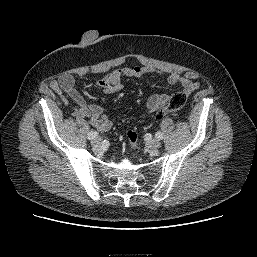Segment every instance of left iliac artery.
Returning <instances> with one entry per match:
<instances>
[{
    "label": "left iliac artery",
    "mask_w": 257,
    "mask_h": 257,
    "mask_svg": "<svg viewBox=\"0 0 257 257\" xmlns=\"http://www.w3.org/2000/svg\"><path fill=\"white\" fill-rule=\"evenodd\" d=\"M156 138L159 139V140H162L163 139V134L161 132H157L155 134Z\"/></svg>",
    "instance_id": "1"
}]
</instances>
